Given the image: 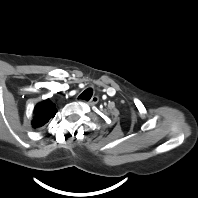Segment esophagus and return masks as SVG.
Returning a JSON list of instances; mask_svg holds the SVG:
<instances>
[{
	"instance_id": "34e87169",
	"label": "esophagus",
	"mask_w": 198,
	"mask_h": 198,
	"mask_svg": "<svg viewBox=\"0 0 198 198\" xmlns=\"http://www.w3.org/2000/svg\"><path fill=\"white\" fill-rule=\"evenodd\" d=\"M99 101V97L98 96H93L90 101L88 102L89 105H95L97 104Z\"/></svg>"
}]
</instances>
